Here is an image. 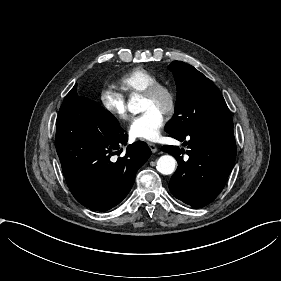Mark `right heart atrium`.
Wrapping results in <instances>:
<instances>
[{
  "mask_svg": "<svg viewBox=\"0 0 281 281\" xmlns=\"http://www.w3.org/2000/svg\"><path fill=\"white\" fill-rule=\"evenodd\" d=\"M100 102L105 112L117 119L127 120L128 109L124 96L110 86L100 90Z\"/></svg>",
  "mask_w": 281,
  "mask_h": 281,
  "instance_id": "1",
  "label": "right heart atrium"
}]
</instances>
